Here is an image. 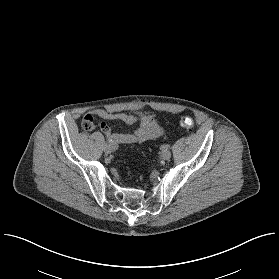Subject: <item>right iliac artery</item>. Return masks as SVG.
<instances>
[{
    "instance_id": "obj_1",
    "label": "right iliac artery",
    "mask_w": 279,
    "mask_h": 279,
    "mask_svg": "<svg viewBox=\"0 0 279 279\" xmlns=\"http://www.w3.org/2000/svg\"><path fill=\"white\" fill-rule=\"evenodd\" d=\"M106 140H107L108 143H110V140H109L108 138H106ZM112 148H113L114 150H116V149H118V146L112 145Z\"/></svg>"
}]
</instances>
